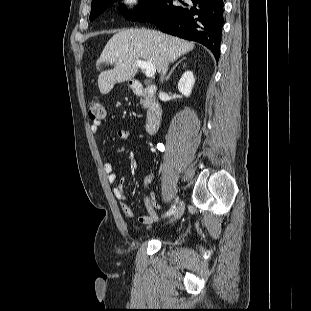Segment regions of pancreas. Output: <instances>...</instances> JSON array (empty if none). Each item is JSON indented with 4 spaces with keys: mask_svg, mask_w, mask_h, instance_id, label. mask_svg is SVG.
<instances>
[{
    "mask_svg": "<svg viewBox=\"0 0 311 311\" xmlns=\"http://www.w3.org/2000/svg\"><path fill=\"white\" fill-rule=\"evenodd\" d=\"M143 106H147V104L149 103V98H144L142 101Z\"/></svg>",
    "mask_w": 311,
    "mask_h": 311,
    "instance_id": "obj_1",
    "label": "pancreas"
}]
</instances>
